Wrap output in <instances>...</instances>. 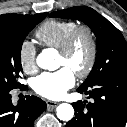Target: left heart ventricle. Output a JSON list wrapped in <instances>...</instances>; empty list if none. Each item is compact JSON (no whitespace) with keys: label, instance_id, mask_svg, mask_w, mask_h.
<instances>
[{"label":"left heart ventricle","instance_id":"b2bd125f","mask_svg":"<svg viewBox=\"0 0 127 127\" xmlns=\"http://www.w3.org/2000/svg\"><path fill=\"white\" fill-rule=\"evenodd\" d=\"M89 56V44L85 36H81L76 42L71 54L65 58L58 55V67H67L74 73L85 67Z\"/></svg>","mask_w":127,"mask_h":127}]
</instances>
